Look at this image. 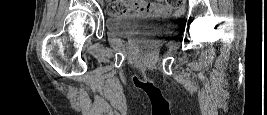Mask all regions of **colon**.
Here are the masks:
<instances>
[{"label":"colon","mask_w":267,"mask_h":115,"mask_svg":"<svg viewBox=\"0 0 267 115\" xmlns=\"http://www.w3.org/2000/svg\"><path fill=\"white\" fill-rule=\"evenodd\" d=\"M184 2V0H169L167 1V4L174 8H180L184 5ZM129 11V6L123 3H112L107 8V12L110 16L123 15L125 13H129Z\"/></svg>","instance_id":"colon-1"}]
</instances>
